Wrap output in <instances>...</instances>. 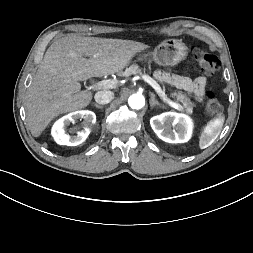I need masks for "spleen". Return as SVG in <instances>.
I'll return each mask as SVG.
<instances>
[{"mask_svg":"<svg viewBox=\"0 0 253 253\" xmlns=\"http://www.w3.org/2000/svg\"><path fill=\"white\" fill-rule=\"evenodd\" d=\"M224 120V116H219L208 122L199 137L200 149L209 147L215 141L222 130Z\"/></svg>","mask_w":253,"mask_h":253,"instance_id":"3e777b00","label":"spleen"}]
</instances>
